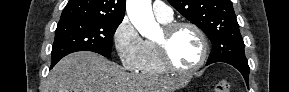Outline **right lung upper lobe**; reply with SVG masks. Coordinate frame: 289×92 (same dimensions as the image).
<instances>
[{"mask_svg":"<svg viewBox=\"0 0 289 92\" xmlns=\"http://www.w3.org/2000/svg\"><path fill=\"white\" fill-rule=\"evenodd\" d=\"M126 0H69L60 20L80 18L122 21Z\"/></svg>","mask_w":289,"mask_h":92,"instance_id":"1","label":"right lung upper lobe"}]
</instances>
